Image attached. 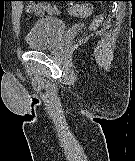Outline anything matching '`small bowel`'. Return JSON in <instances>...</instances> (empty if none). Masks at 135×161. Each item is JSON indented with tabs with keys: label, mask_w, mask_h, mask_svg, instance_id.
<instances>
[{
	"label": "small bowel",
	"mask_w": 135,
	"mask_h": 161,
	"mask_svg": "<svg viewBox=\"0 0 135 161\" xmlns=\"http://www.w3.org/2000/svg\"><path fill=\"white\" fill-rule=\"evenodd\" d=\"M47 10L49 12H52V13H56L57 12L56 8H54V7H49Z\"/></svg>",
	"instance_id": "small-bowel-1"
}]
</instances>
